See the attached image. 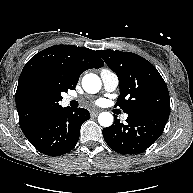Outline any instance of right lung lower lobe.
Masks as SVG:
<instances>
[{
    "label": "right lung lower lobe",
    "mask_w": 193,
    "mask_h": 193,
    "mask_svg": "<svg viewBox=\"0 0 193 193\" xmlns=\"http://www.w3.org/2000/svg\"><path fill=\"white\" fill-rule=\"evenodd\" d=\"M89 118L90 113L86 109L61 108L23 133L41 153L60 156L75 147L81 125Z\"/></svg>",
    "instance_id": "1"
}]
</instances>
